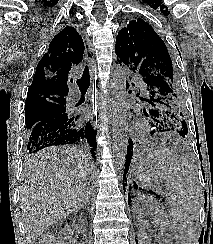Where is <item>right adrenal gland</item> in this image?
<instances>
[{
	"instance_id": "obj_1",
	"label": "right adrenal gland",
	"mask_w": 213,
	"mask_h": 244,
	"mask_svg": "<svg viewBox=\"0 0 213 244\" xmlns=\"http://www.w3.org/2000/svg\"><path fill=\"white\" fill-rule=\"evenodd\" d=\"M86 203H87V202L84 201V202H83V205H86Z\"/></svg>"
}]
</instances>
